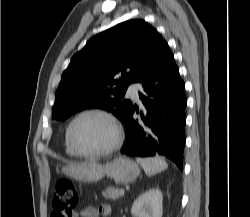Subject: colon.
I'll list each match as a JSON object with an SVG mask.
<instances>
[{
	"label": "colon",
	"mask_w": 250,
	"mask_h": 217,
	"mask_svg": "<svg viewBox=\"0 0 250 217\" xmlns=\"http://www.w3.org/2000/svg\"><path fill=\"white\" fill-rule=\"evenodd\" d=\"M51 204V217H72L78 205V194L70 179L62 178L56 182Z\"/></svg>",
	"instance_id": "5ec220e1"
}]
</instances>
